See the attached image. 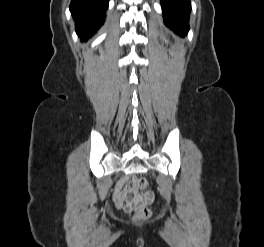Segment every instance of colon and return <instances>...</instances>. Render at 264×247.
Instances as JSON below:
<instances>
[{"instance_id":"obj_1","label":"colon","mask_w":264,"mask_h":247,"mask_svg":"<svg viewBox=\"0 0 264 247\" xmlns=\"http://www.w3.org/2000/svg\"><path fill=\"white\" fill-rule=\"evenodd\" d=\"M130 185H132L137 192H145L149 186L147 179L143 177L131 178ZM152 200L153 194L151 192H146L144 197L139 194H130L119 199V206L127 212L133 211L138 219H147L151 211L146 203Z\"/></svg>"}]
</instances>
